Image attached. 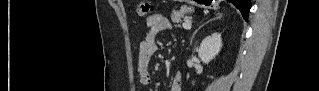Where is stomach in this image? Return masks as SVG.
<instances>
[{"instance_id": "obj_1", "label": "stomach", "mask_w": 319, "mask_h": 91, "mask_svg": "<svg viewBox=\"0 0 319 91\" xmlns=\"http://www.w3.org/2000/svg\"><path fill=\"white\" fill-rule=\"evenodd\" d=\"M212 1H201V6H207V5H210Z\"/></svg>"}]
</instances>
